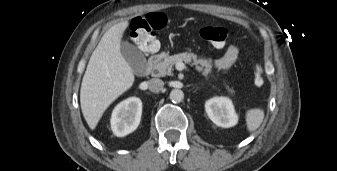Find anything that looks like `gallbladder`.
I'll use <instances>...</instances> for the list:
<instances>
[{
	"mask_svg": "<svg viewBox=\"0 0 337 171\" xmlns=\"http://www.w3.org/2000/svg\"><path fill=\"white\" fill-rule=\"evenodd\" d=\"M121 53L136 75H142L146 68L144 55L127 41L121 43Z\"/></svg>",
	"mask_w": 337,
	"mask_h": 171,
	"instance_id": "gallbladder-1",
	"label": "gallbladder"
}]
</instances>
